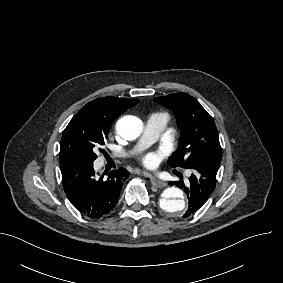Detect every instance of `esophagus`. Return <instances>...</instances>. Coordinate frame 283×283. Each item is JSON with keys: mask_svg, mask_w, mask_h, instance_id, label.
Wrapping results in <instances>:
<instances>
[{"mask_svg": "<svg viewBox=\"0 0 283 283\" xmlns=\"http://www.w3.org/2000/svg\"><path fill=\"white\" fill-rule=\"evenodd\" d=\"M143 175L148 176L150 178L152 185H154L156 187L160 188V187H165L167 185L164 181L157 179L155 176H152L151 174H149L147 172H143Z\"/></svg>", "mask_w": 283, "mask_h": 283, "instance_id": "esophagus-1", "label": "esophagus"}]
</instances>
